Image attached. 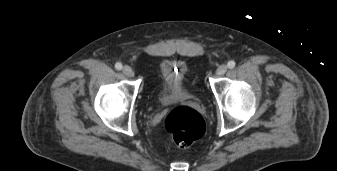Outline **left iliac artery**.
I'll list each match as a JSON object with an SVG mask.
<instances>
[{"instance_id": "1", "label": "left iliac artery", "mask_w": 337, "mask_h": 171, "mask_svg": "<svg viewBox=\"0 0 337 171\" xmlns=\"http://www.w3.org/2000/svg\"><path fill=\"white\" fill-rule=\"evenodd\" d=\"M235 65H236V63H235V61H233V60H231V61H229V62L227 63V67L230 68V69L234 68Z\"/></svg>"}]
</instances>
